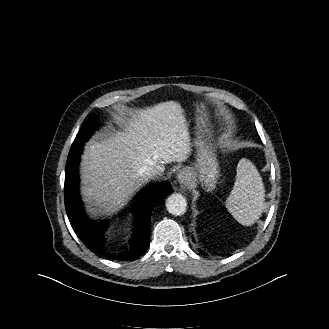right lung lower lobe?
I'll list each match as a JSON object with an SVG mask.
<instances>
[{"instance_id": "98d812e1", "label": "right lung lower lobe", "mask_w": 329, "mask_h": 329, "mask_svg": "<svg viewBox=\"0 0 329 329\" xmlns=\"http://www.w3.org/2000/svg\"><path fill=\"white\" fill-rule=\"evenodd\" d=\"M82 148L72 158L67 159L65 170V208L70 224L79 239L92 252L104 255L113 260H134L141 256L150 243L151 211L156 203L172 192L170 184L148 187L135 203V231L129 250L111 255L103 249L104 233L100 224L85 217L79 197L78 163Z\"/></svg>"}]
</instances>
